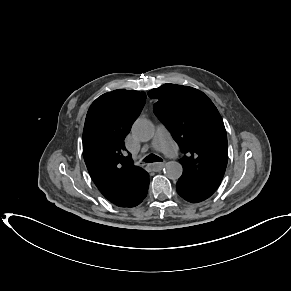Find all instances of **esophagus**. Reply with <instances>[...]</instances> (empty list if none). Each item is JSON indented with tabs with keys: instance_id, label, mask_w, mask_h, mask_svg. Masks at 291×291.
<instances>
[{
	"instance_id": "34e87169",
	"label": "esophagus",
	"mask_w": 291,
	"mask_h": 291,
	"mask_svg": "<svg viewBox=\"0 0 291 291\" xmlns=\"http://www.w3.org/2000/svg\"><path fill=\"white\" fill-rule=\"evenodd\" d=\"M150 167L153 171H160L164 167V162L153 163Z\"/></svg>"
}]
</instances>
